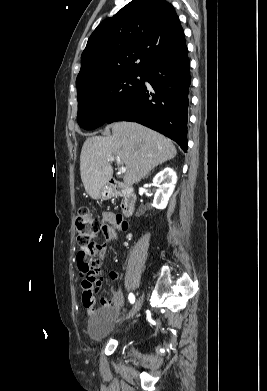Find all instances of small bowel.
Here are the masks:
<instances>
[{"instance_id": "c3829d8e", "label": "small bowel", "mask_w": 267, "mask_h": 391, "mask_svg": "<svg viewBox=\"0 0 267 391\" xmlns=\"http://www.w3.org/2000/svg\"><path fill=\"white\" fill-rule=\"evenodd\" d=\"M105 222L104 234L109 241L115 242L118 231H127L128 223L121 219L120 216L110 212L102 214ZM107 250V244L95 255L87 252H79L77 256L78 270L82 286V303L84 308L92 312L96 305V290L103 282L102 262ZM110 279L116 280L119 275L117 272H110ZM104 306H116L122 302V295L119 291H112V300L101 299Z\"/></svg>"}]
</instances>
